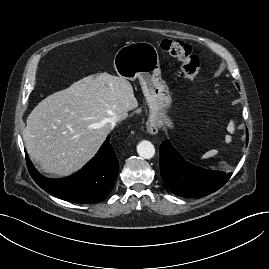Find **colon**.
<instances>
[{
	"mask_svg": "<svg viewBox=\"0 0 269 269\" xmlns=\"http://www.w3.org/2000/svg\"><path fill=\"white\" fill-rule=\"evenodd\" d=\"M158 45L164 52L178 60L181 75L189 83H194L200 67V61L192 48L181 41L172 39H162L158 42Z\"/></svg>",
	"mask_w": 269,
	"mask_h": 269,
	"instance_id": "5ec220e1",
	"label": "colon"
}]
</instances>
